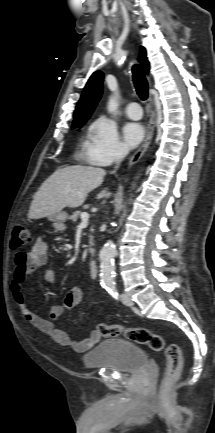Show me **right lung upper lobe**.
I'll return each mask as SVG.
<instances>
[{
    "instance_id": "right-lung-upper-lobe-1",
    "label": "right lung upper lobe",
    "mask_w": 215,
    "mask_h": 433,
    "mask_svg": "<svg viewBox=\"0 0 215 433\" xmlns=\"http://www.w3.org/2000/svg\"><path fill=\"white\" fill-rule=\"evenodd\" d=\"M139 61L141 62L144 70L148 72L149 63L146 58L144 47H141ZM102 81L103 73L101 71H96L92 74L84 88L82 96L74 112V123L86 122V120L91 116V113L95 109L102 94Z\"/></svg>"
}]
</instances>
